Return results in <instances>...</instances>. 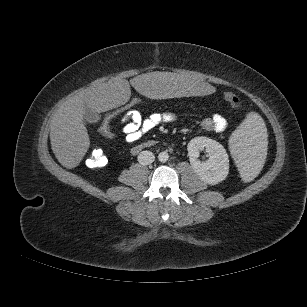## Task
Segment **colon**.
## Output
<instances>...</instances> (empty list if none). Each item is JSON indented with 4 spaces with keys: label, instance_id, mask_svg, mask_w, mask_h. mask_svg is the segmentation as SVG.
Wrapping results in <instances>:
<instances>
[{
    "label": "colon",
    "instance_id": "colon-1",
    "mask_svg": "<svg viewBox=\"0 0 307 307\" xmlns=\"http://www.w3.org/2000/svg\"><path fill=\"white\" fill-rule=\"evenodd\" d=\"M226 100L235 109H241L243 107L242 101L234 93L228 92L225 94ZM144 103V99L141 97H131L121 105L106 112L99 124V132L108 138L114 136L113 124L121 122L125 119L133 110H137V107ZM86 165L90 168H100L107 164V157L100 148H91L85 157Z\"/></svg>",
    "mask_w": 307,
    "mask_h": 307
}]
</instances>
